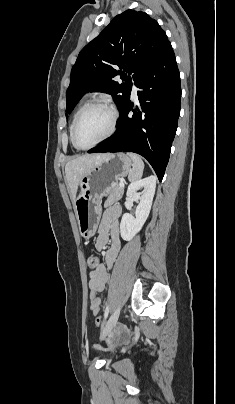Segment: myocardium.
<instances>
[{"label":"myocardium","mask_w":235,"mask_h":404,"mask_svg":"<svg viewBox=\"0 0 235 404\" xmlns=\"http://www.w3.org/2000/svg\"><path fill=\"white\" fill-rule=\"evenodd\" d=\"M96 107H104L106 109H108L111 113V126L109 131L101 138L99 139L97 142L89 145V146H81L77 140H76V131H77V127L79 122L81 121L82 117L91 109L96 108ZM118 110L117 108L111 104L108 101L105 100H97V101H93L91 103H88L78 114V116L75 119V122L73 124V128H72V132H71V141L73 143V145L79 149V150H89L94 148L95 146H97L98 144L106 141L107 139H109L115 132L116 127H117V122H118Z\"/></svg>","instance_id":"f54148a6"}]
</instances>
